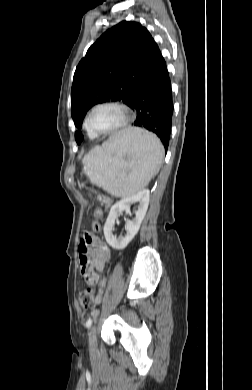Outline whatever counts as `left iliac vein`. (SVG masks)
<instances>
[{
	"mask_svg": "<svg viewBox=\"0 0 252 390\" xmlns=\"http://www.w3.org/2000/svg\"><path fill=\"white\" fill-rule=\"evenodd\" d=\"M89 350L90 352H94L97 347V337H96V327L92 326L89 330Z\"/></svg>",
	"mask_w": 252,
	"mask_h": 390,
	"instance_id": "1",
	"label": "left iliac vein"
}]
</instances>
